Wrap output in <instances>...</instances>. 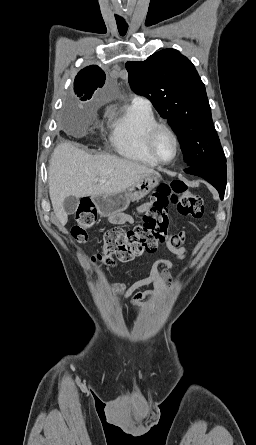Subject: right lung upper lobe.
<instances>
[{"label": "right lung upper lobe", "instance_id": "cb5924a9", "mask_svg": "<svg viewBox=\"0 0 256 445\" xmlns=\"http://www.w3.org/2000/svg\"><path fill=\"white\" fill-rule=\"evenodd\" d=\"M104 83V71L96 65L88 66L82 69L75 78V94H77L82 101H86L90 99L94 91L102 87Z\"/></svg>", "mask_w": 256, "mask_h": 445}]
</instances>
